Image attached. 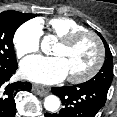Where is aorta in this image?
<instances>
[{"instance_id":"aorta-1","label":"aorta","mask_w":117,"mask_h":117,"mask_svg":"<svg viewBox=\"0 0 117 117\" xmlns=\"http://www.w3.org/2000/svg\"><path fill=\"white\" fill-rule=\"evenodd\" d=\"M50 36L45 37L41 42V48L46 51L49 47ZM60 99L55 95H49L44 99V108L50 112H55L60 107Z\"/></svg>"}]
</instances>
